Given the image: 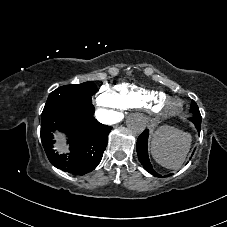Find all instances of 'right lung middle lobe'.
I'll return each mask as SVG.
<instances>
[{"label": "right lung middle lobe", "mask_w": 227, "mask_h": 227, "mask_svg": "<svg viewBox=\"0 0 227 227\" xmlns=\"http://www.w3.org/2000/svg\"><path fill=\"white\" fill-rule=\"evenodd\" d=\"M97 91V86L92 82L66 85L50 93L42 115L48 110L66 104H92V96Z\"/></svg>", "instance_id": "right-lung-middle-lobe-1"}]
</instances>
